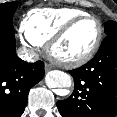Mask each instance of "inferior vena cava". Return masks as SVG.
Returning <instances> with one entry per match:
<instances>
[{"instance_id": "obj_1", "label": "inferior vena cava", "mask_w": 117, "mask_h": 117, "mask_svg": "<svg viewBox=\"0 0 117 117\" xmlns=\"http://www.w3.org/2000/svg\"><path fill=\"white\" fill-rule=\"evenodd\" d=\"M17 55L21 59L28 61V62H35L39 59V55L36 52L29 50L25 47L18 49Z\"/></svg>"}]
</instances>
